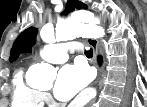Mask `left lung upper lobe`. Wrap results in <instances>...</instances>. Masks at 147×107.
Here are the masks:
<instances>
[{
    "label": "left lung upper lobe",
    "instance_id": "left-lung-upper-lobe-1",
    "mask_svg": "<svg viewBox=\"0 0 147 107\" xmlns=\"http://www.w3.org/2000/svg\"><path fill=\"white\" fill-rule=\"evenodd\" d=\"M82 8L86 9L87 6L78 0H68L65 13L73 11L74 9ZM37 33L38 30L36 28L29 27L19 35L13 44L10 55V62L15 61L21 52H28L31 50V47L36 42Z\"/></svg>",
    "mask_w": 147,
    "mask_h": 107
}]
</instances>
